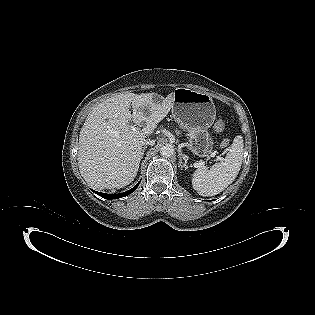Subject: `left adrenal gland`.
<instances>
[{"label": "left adrenal gland", "mask_w": 315, "mask_h": 315, "mask_svg": "<svg viewBox=\"0 0 315 315\" xmlns=\"http://www.w3.org/2000/svg\"><path fill=\"white\" fill-rule=\"evenodd\" d=\"M178 167L187 169L186 164L182 163V156H181L180 153H179V164H178Z\"/></svg>", "instance_id": "a2214340"}]
</instances>
